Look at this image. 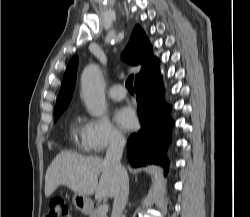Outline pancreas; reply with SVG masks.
<instances>
[{
    "label": "pancreas",
    "instance_id": "1",
    "mask_svg": "<svg viewBox=\"0 0 250 217\" xmlns=\"http://www.w3.org/2000/svg\"><path fill=\"white\" fill-rule=\"evenodd\" d=\"M89 217H108L107 213H100L99 208L94 209L90 214Z\"/></svg>",
    "mask_w": 250,
    "mask_h": 217
}]
</instances>
